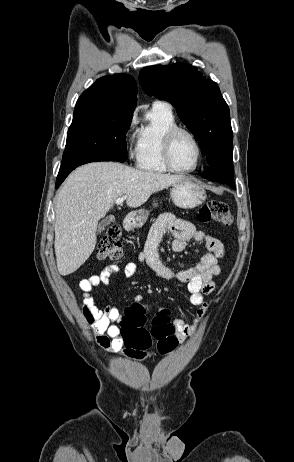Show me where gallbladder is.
Segmentation results:
<instances>
[{
  "instance_id": "obj_1",
  "label": "gallbladder",
  "mask_w": 294,
  "mask_h": 462,
  "mask_svg": "<svg viewBox=\"0 0 294 462\" xmlns=\"http://www.w3.org/2000/svg\"><path fill=\"white\" fill-rule=\"evenodd\" d=\"M114 221V218L109 216L107 217L106 219H104L103 221H101L98 225V233H100L104 227H106L107 225H109L111 222Z\"/></svg>"
}]
</instances>
